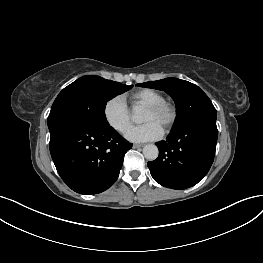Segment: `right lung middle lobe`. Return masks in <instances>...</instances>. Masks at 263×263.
I'll list each match as a JSON object with an SVG mask.
<instances>
[{
  "label": "right lung middle lobe",
  "instance_id": "obj_1",
  "mask_svg": "<svg viewBox=\"0 0 263 263\" xmlns=\"http://www.w3.org/2000/svg\"><path fill=\"white\" fill-rule=\"evenodd\" d=\"M132 87L95 75L83 76L59 93L48 116V127L70 120L108 126L106 103Z\"/></svg>",
  "mask_w": 263,
  "mask_h": 263
}]
</instances>
